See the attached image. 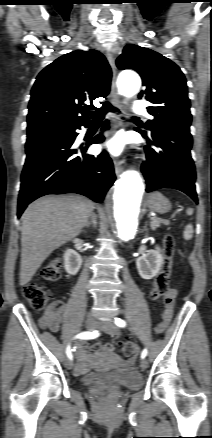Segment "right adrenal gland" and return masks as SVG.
Segmentation results:
<instances>
[{"label":"right adrenal gland","instance_id":"right-adrenal-gland-1","mask_svg":"<svg viewBox=\"0 0 212 438\" xmlns=\"http://www.w3.org/2000/svg\"><path fill=\"white\" fill-rule=\"evenodd\" d=\"M86 228H96L97 227V216L94 212L91 213L90 215V220L87 222V224L85 225Z\"/></svg>","mask_w":212,"mask_h":438}]
</instances>
